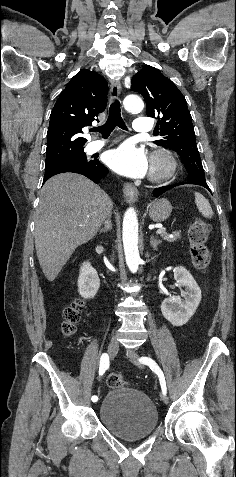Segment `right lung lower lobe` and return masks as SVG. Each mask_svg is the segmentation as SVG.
<instances>
[{
  "label": "right lung lower lobe",
  "mask_w": 236,
  "mask_h": 477,
  "mask_svg": "<svg viewBox=\"0 0 236 477\" xmlns=\"http://www.w3.org/2000/svg\"><path fill=\"white\" fill-rule=\"evenodd\" d=\"M65 172L78 173L88 177L90 180H92L95 183H99L100 180L103 177H105L106 174L108 173V169L105 166H103L99 162V160H95L93 164L88 166H75V167H69L64 169H55V170L47 171L45 172L43 182H46L50 177L56 174L65 173Z\"/></svg>",
  "instance_id": "98d812e1"
}]
</instances>
